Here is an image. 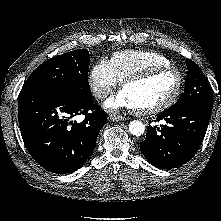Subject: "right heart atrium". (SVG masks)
I'll use <instances>...</instances> for the list:
<instances>
[{
	"instance_id": "obj_1",
	"label": "right heart atrium",
	"mask_w": 221,
	"mask_h": 221,
	"mask_svg": "<svg viewBox=\"0 0 221 221\" xmlns=\"http://www.w3.org/2000/svg\"><path fill=\"white\" fill-rule=\"evenodd\" d=\"M88 81L93 95L99 100L105 99L119 83L109 61L104 59L92 66Z\"/></svg>"
}]
</instances>
